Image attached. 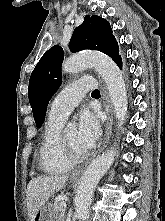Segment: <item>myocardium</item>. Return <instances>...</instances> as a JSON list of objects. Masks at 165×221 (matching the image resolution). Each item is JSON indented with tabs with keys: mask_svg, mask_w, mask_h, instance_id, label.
Returning a JSON list of instances; mask_svg holds the SVG:
<instances>
[{
	"mask_svg": "<svg viewBox=\"0 0 165 221\" xmlns=\"http://www.w3.org/2000/svg\"><path fill=\"white\" fill-rule=\"evenodd\" d=\"M60 146H61V150H62L63 155L72 164L80 163V162L86 160L89 156V151H86L83 154L76 153L73 150V148L71 147V145L69 144V142L65 136V132L61 133Z\"/></svg>",
	"mask_w": 165,
	"mask_h": 221,
	"instance_id": "f54148a6",
	"label": "myocardium"
}]
</instances>
